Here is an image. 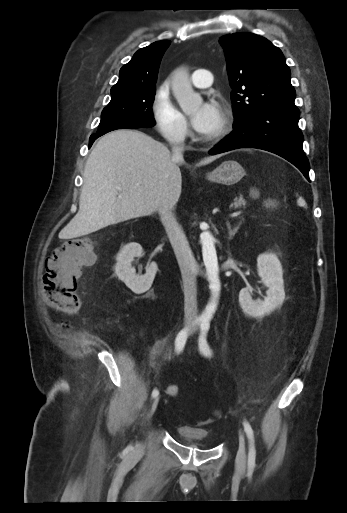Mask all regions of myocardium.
Masks as SVG:
<instances>
[{
    "label": "myocardium",
    "instance_id": "obj_1",
    "mask_svg": "<svg viewBox=\"0 0 347 513\" xmlns=\"http://www.w3.org/2000/svg\"><path fill=\"white\" fill-rule=\"evenodd\" d=\"M230 125H231V122H230L229 116L227 113H225L222 118V123H221L219 130L212 136L203 137L202 140L207 143H213V142L220 140L223 136H225L228 133V131L230 130Z\"/></svg>",
    "mask_w": 347,
    "mask_h": 513
}]
</instances>
